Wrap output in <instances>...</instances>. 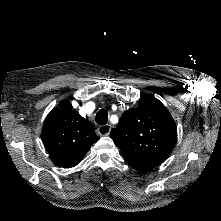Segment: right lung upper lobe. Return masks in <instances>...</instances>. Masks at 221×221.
Returning <instances> with one entry per match:
<instances>
[{
  "label": "right lung upper lobe",
  "instance_id": "1",
  "mask_svg": "<svg viewBox=\"0 0 221 221\" xmlns=\"http://www.w3.org/2000/svg\"><path fill=\"white\" fill-rule=\"evenodd\" d=\"M71 108L68 100L61 101L47 116L41 135L53 163L64 168L79 164L99 139L93 125Z\"/></svg>",
  "mask_w": 221,
  "mask_h": 221
}]
</instances>
